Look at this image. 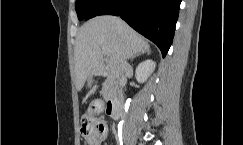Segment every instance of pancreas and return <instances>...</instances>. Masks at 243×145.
<instances>
[{
	"instance_id": "cf45deb5",
	"label": "pancreas",
	"mask_w": 243,
	"mask_h": 145,
	"mask_svg": "<svg viewBox=\"0 0 243 145\" xmlns=\"http://www.w3.org/2000/svg\"><path fill=\"white\" fill-rule=\"evenodd\" d=\"M115 90H116V83H115L114 76L111 73H108L107 79L105 80V82L103 84V95H104V97L107 98V95L110 92H113Z\"/></svg>"
}]
</instances>
